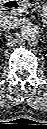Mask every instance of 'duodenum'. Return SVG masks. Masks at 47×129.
Instances as JSON below:
<instances>
[{"mask_svg":"<svg viewBox=\"0 0 47 129\" xmlns=\"http://www.w3.org/2000/svg\"><path fill=\"white\" fill-rule=\"evenodd\" d=\"M14 3H15V2H13V1H7V2L5 3L4 11H5V12L11 11L12 4H14Z\"/></svg>","mask_w":47,"mask_h":129,"instance_id":"duodenum-1","label":"duodenum"}]
</instances>
